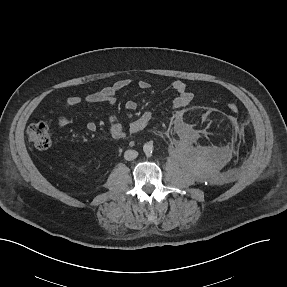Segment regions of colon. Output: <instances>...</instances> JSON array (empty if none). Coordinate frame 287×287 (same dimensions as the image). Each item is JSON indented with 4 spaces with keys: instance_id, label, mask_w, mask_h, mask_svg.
<instances>
[{
    "instance_id": "1",
    "label": "colon",
    "mask_w": 287,
    "mask_h": 287,
    "mask_svg": "<svg viewBox=\"0 0 287 287\" xmlns=\"http://www.w3.org/2000/svg\"><path fill=\"white\" fill-rule=\"evenodd\" d=\"M228 110L232 113H237L239 108L236 103H229ZM27 135L33 146L39 150L48 149L51 145V129L45 122H36L31 124L28 127Z\"/></svg>"
}]
</instances>
